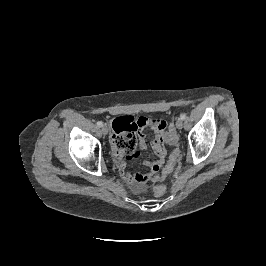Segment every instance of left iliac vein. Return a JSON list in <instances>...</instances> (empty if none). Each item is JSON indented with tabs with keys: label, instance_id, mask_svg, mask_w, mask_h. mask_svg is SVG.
I'll return each mask as SVG.
<instances>
[{
	"label": "left iliac vein",
	"instance_id": "1",
	"mask_svg": "<svg viewBox=\"0 0 266 266\" xmlns=\"http://www.w3.org/2000/svg\"><path fill=\"white\" fill-rule=\"evenodd\" d=\"M183 120L181 118H179L177 121H176V128L177 129H182L183 128Z\"/></svg>",
	"mask_w": 266,
	"mask_h": 266
}]
</instances>
